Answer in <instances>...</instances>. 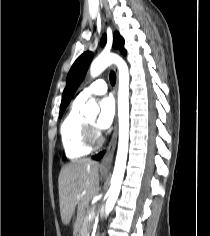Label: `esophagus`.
<instances>
[{"label": "esophagus", "instance_id": "34e87169", "mask_svg": "<svg viewBox=\"0 0 210 236\" xmlns=\"http://www.w3.org/2000/svg\"><path fill=\"white\" fill-rule=\"evenodd\" d=\"M117 137H118V117L116 113L115 119H114V128H113L112 137L110 139L108 146L105 149L103 158L100 163V168L103 170H108L110 168V164H111L114 151L116 148V144H117Z\"/></svg>", "mask_w": 210, "mask_h": 236}]
</instances>
